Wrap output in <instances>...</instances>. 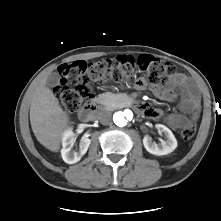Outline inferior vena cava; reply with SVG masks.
<instances>
[{
    "instance_id": "inferior-vena-cava-1",
    "label": "inferior vena cava",
    "mask_w": 221,
    "mask_h": 221,
    "mask_svg": "<svg viewBox=\"0 0 221 221\" xmlns=\"http://www.w3.org/2000/svg\"><path fill=\"white\" fill-rule=\"evenodd\" d=\"M111 112L107 110L100 111L97 115V119L102 123V124H108L111 121Z\"/></svg>"
}]
</instances>
